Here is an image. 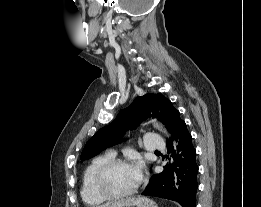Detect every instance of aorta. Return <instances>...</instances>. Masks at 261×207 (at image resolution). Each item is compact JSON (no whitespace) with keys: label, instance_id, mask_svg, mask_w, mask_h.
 Instances as JSON below:
<instances>
[{"label":"aorta","instance_id":"obj_1","mask_svg":"<svg viewBox=\"0 0 261 207\" xmlns=\"http://www.w3.org/2000/svg\"><path fill=\"white\" fill-rule=\"evenodd\" d=\"M153 125H154V127L158 128L159 130L165 132V130L163 129L162 125H160L159 123H157V122H153Z\"/></svg>","mask_w":261,"mask_h":207}]
</instances>
